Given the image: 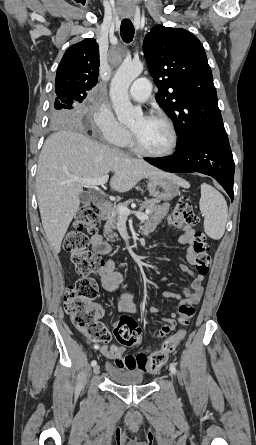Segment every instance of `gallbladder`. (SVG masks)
<instances>
[{"label": "gallbladder", "mask_w": 256, "mask_h": 445, "mask_svg": "<svg viewBox=\"0 0 256 445\" xmlns=\"http://www.w3.org/2000/svg\"><path fill=\"white\" fill-rule=\"evenodd\" d=\"M79 200H80V202H82V203H86V202H88V201L91 200V197H90V195H89L88 193L83 192V193H81V194L79 195Z\"/></svg>", "instance_id": "gallbladder-1"}]
</instances>
